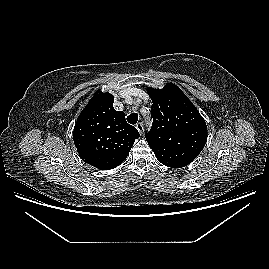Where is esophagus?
<instances>
[{
	"label": "esophagus",
	"mask_w": 269,
	"mask_h": 269,
	"mask_svg": "<svg viewBox=\"0 0 269 269\" xmlns=\"http://www.w3.org/2000/svg\"><path fill=\"white\" fill-rule=\"evenodd\" d=\"M135 127L139 131L140 134H143L144 126H143V124L141 122L137 123Z\"/></svg>",
	"instance_id": "esophagus-1"
}]
</instances>
